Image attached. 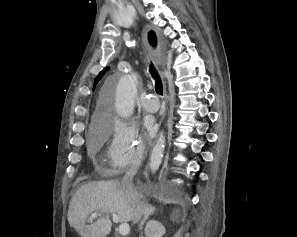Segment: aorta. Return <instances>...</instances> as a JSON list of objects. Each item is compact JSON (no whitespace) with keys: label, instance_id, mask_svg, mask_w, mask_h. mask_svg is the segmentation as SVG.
Segmentation results:
<instances>
[{"label":"aorta","instance_id":"aorta-1","mask_svg":"<svg viewBox=\"0 0 297 237\" xmlns=\"http://www.w3.org/2000/svg\"><path fill=\"white\" fill-rule=\"evenodd\" d=\"M137 94V75L123 76L116 88L115 109L120 117L127 118L132 115ZM165 148V138L163 134L158 138L151 153L150 168L156 171L161 163Z\"/></svg>","mask_w":297,"mask_h":237}]
</instances>
